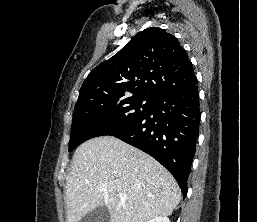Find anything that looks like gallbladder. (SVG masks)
<instances>
[{
	"instance_id": "obj_1",
	"label": "gallbladder",
	"mask_w": 257,
	"mask_h": 222,
	"mask_svg": "<svg viewBox=\"0 0 257 222\" xmlns=\"http://www.w3.org/2000/svg\"><path fill=\"white\" fill-rule=\"evenodd\" d=\"M80 222H110V214L106 206H99L85 215Z\"/></svg>"
}]
</instances>
